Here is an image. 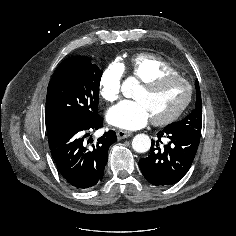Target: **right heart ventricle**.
<instances>
[{
    "instance_id": "1",
    "label": "right heart ventricle",
    "mask_w": 236,
    "mask_h": 236,
    "mask_svg": "<svg viewBox=\"0 0 236 236\" xmlns=\"http://www.w3.org/2000/svg\"><path fill=\"white\" fill-rule=\"evenodd\" d=\"M130 73L140 83H143L162 74H177V71L162 58L145 53L132 59Z\"/></svg>"
}]
</instances>
